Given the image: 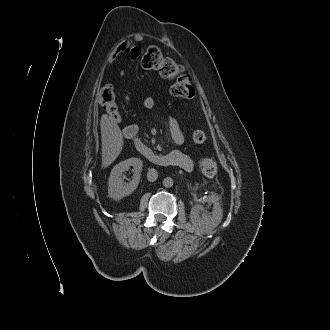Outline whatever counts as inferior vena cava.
Here are the masks:
<instances>
[{
	"mask_svg": "<svg viewBox=\"0 0 330 330\" xmlns=\"http://www.w3.org/2000/svg\"><path fill=\"white\" fill-rule=\"evenodd\" d=\"M157 178H158L157 170L154 169V168L149 169L148 172H147L148 181L154 182V181H156Z\"/></svg>",
	"mask_w": 330,
	"mask_h": 330,
	"instance_id": "1",
	"label": "inferior vena cava"
}]
</instances>
